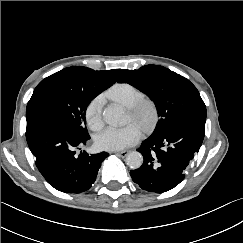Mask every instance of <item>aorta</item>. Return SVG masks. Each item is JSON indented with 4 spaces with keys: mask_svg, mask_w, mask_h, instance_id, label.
Wrapping results in <instances>:
<instances>
[{
    "mask_svg": "<svg viewBox=\"0 0 243 243\" xmlns=\"http://www.w3.org/2000/svg\"><path fill=\"white\" fill-rule=\"evenodd\" d=\"M103 119L109 125H122L125 122V113L121 106L111 104L103 111ZM143 163L142 155L137 151H132L126 156V164L132 169H138Z\"/></svg>",
    "mask_w": 243,
    "mask_h": 243,
    "instance_id": "aorta-1",
    "label": "aorta"
}]
</instances>
